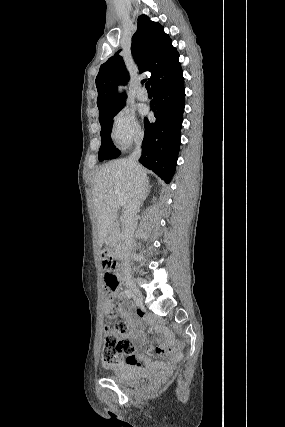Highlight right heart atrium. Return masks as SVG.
I'll list each match as a JSON object with an SVG mask.
<instances>
[{
  "mask_svg": "<svg viewBox=\"0 0 285 427\" xmlns=\"http://www.w3.org/2000/svg\"><path fill=\"white\" fill-rule=\"evenodd\" d=\"M140 126L129 109H121L113 118L111 137L121 149L128 148L141 138Z\"/></svg>",
  "mask_w": 285,
  "mask_h": 427,
  "instance_id": "d8ad5b80",
  "label": "right heart atrium"
}]
</instances>
